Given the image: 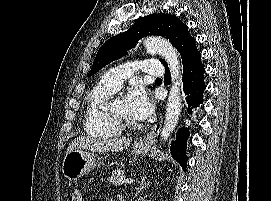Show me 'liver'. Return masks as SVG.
<instances>
[{
	"mask_svg": "<svg viewBox=\"0 0 271 201\" xmlns=\"http://www.w3.org/2000/svg\"><path fill=\"white\" fill-rule=\"evenodd\" d=\"M132 143L130 138H110L100 139L91 136H78L75 138L69 147L66 154L75 150H90L97 152H113L127 149Z\"/></svg>",
	"mask_w": 271,
	"mask_h": 201,
	"instance_id": "liver-1",
	"label": "liver"
}]
</instances>
